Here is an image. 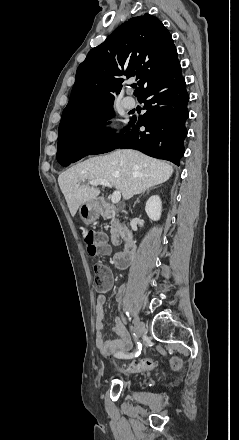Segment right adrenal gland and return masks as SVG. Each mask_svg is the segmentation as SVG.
<instances>
[{"instance_id":"1","label":"right adrenal gland","mask_w":239,"mask_h":440,"mask_svg":"<svg viewBox=\"0 0 239 440\" xmlns=\"http://www.w3.org/2000/svg\"><path fill=\"white\" fill-rule=\"evenodd\" d=\"M150 190H153V188H149V190H147V194H149ZM137 202H139V198H138V200H136L135 204H137ZM135 204H134V206H135ZM134 206H133V208H134Z\"/></svg>"}]
</instances>
